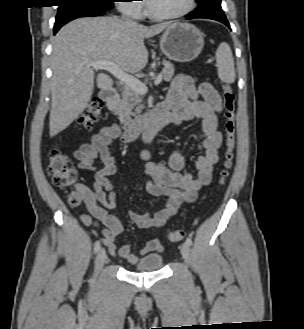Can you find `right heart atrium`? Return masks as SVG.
<instances>
[{
    "instance_id": "right-heart-atrium-1",
    "label": "right heart atrium",
    "mask_w": 304,
    "mask_h": 329,
    "mask_svg": "<svg viewBox=\"0 0 304 329\" xmlns=\"http://www.w3.org/2000/svg\"><path fill=\"white\" fill-rule=\"evenodd\" d=\"M119 2H121L119 3L120 11L135 18H140L143 15L144 3L142 0H120Z\"/></svg>"
}]
</instances>
